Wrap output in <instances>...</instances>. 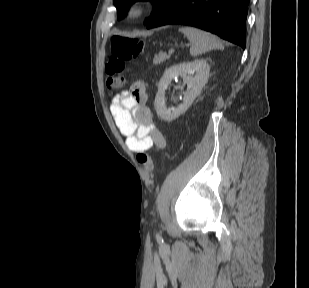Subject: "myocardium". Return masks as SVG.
Masks as SVG:
<instances>
[{"instance_id": "myocardium-1", "label": "myocardium", "mask_w": 309, "mask_h": 288, "mask_svg": "<svg viewBox=\"0 0 309 288\" xmlns=\"http://www.w3.org/2000/svg\"><path fill=\"white\" fill-rule=\"evenodd\" d=\"M148 4L144 0H132L128 3L125 15L129 20H138L146 15Z\"/></svg>"}]
</instances>
